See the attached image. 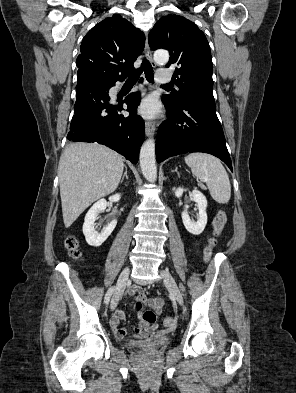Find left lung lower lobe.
Masks as SVG:
<instances>
[{
  "label": "left lung lower lobe",
  "instance_id": "0a47b994",
  "mask_svg": "<svg viewBox=\"0 0 296 393\" xmlns=\"http://www.w3.org/2000/svg\"><path fill=\"white\" fill-rule=\"evenodd\" d=\"M165 107L168 119L159 127L156 140L158 162L182 153L205 152L221 159L232 171L214 99L199 96L176 108Z\"/></svg>",
  "mask_w": 296,
  "mask_h": 393
}]
</instances>
